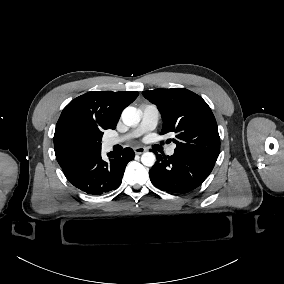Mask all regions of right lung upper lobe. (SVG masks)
Instances as JSON below:
<instances>
[{
    "instance_id": "obj_1",
    "label": "right lung upper lobe",
    "mask_w": 284,
    "mask_h": 284,
    "mask_svg": "<svg viewBox=\"0 0 284 284\" xmlns=\"http://www.w3.org/2000/svg\"><path fill=\"white\" fill-rule=\"evenodd\" d=\"M137 91H92L73 99L56 124L54 149L63 170L101 152L103 131L115 129Z\"/></svg>"
}]
</instances>
